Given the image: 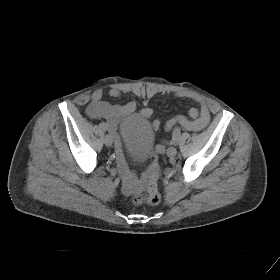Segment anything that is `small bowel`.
I'll return each instance as SVG.
<instances>
[{"instance_id": "1", "label": "small bowel", "mask_w": 280, "mask_h": 280, "mask_svg": "<svg viewBox=\"0 0 280 280\" xmlns=\"http://www.w3.org/2000/svg\"><path fill=\"white\" fill-rule=\"evenodd\" d=\"M121 95L120 90L111 89L108 91V96L111 98H117ZM177 97L190 98L196 101L200 107H192L188 111V117L183 115H177L167 121L165 128L170 131L175 125H181L189 131H200L204 129L210 122V111L206 101L199 95L188 92L179 91L175 94ZM136 109V102L131 100L123 105H113L103 99L102 90H96L86 108V113L90 118L98 119L102 118L106 120L107 128L115 134L117 124L126 116L131 114ZM145 117H152L154 111L152 108L146 107L141 111ZM153 126L158 128L160 121L155 120ZM165 144L158 146L159 151L164 150ZM120 172L124 180V188L127 193H130L140 186V181L129 171L128 166L124 160L120 161Z\"/></svg>"}]
</instances>
